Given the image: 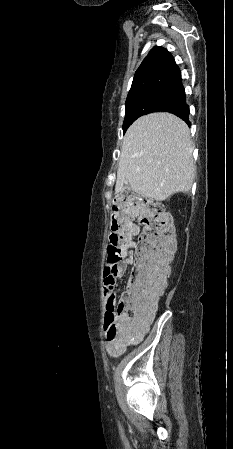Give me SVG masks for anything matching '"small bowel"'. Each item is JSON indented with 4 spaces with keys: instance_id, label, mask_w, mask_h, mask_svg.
I'll return each instance as SVG.
<instances>
[{
    "instance_id": "small-bowel-1",
    "label": "small bowel",
    "mask_w": 233,
    "mask_h": 449,
    "mask_svg": "<svg viewBox=\"0 0 233 449\" xmlns=\"http://www.w3.org/2000/svg\"><path fill=\"white\" fill-rule=\"evenodd\" d=\"M138 233H139V227L137 225H135V235ZM132 263H133V258L131 256H128L125 259H123L122 261L118 262L117 264L111 265L107 269V271L104 275L103 293H104V296L106 299V308L108 311H110L113 307H115V304H116V297H117L116 296V282H117V279L124 274L126 268L128 266H131ZM147 326H148L147 322H143L140 324L134 342L137 341L141 337L142 333L146 331ZM113 347H114V343L108 342V348L110 351L113 349ZM126 347H124L123 349H125Z\"/></svg>"
}]
</instances>
